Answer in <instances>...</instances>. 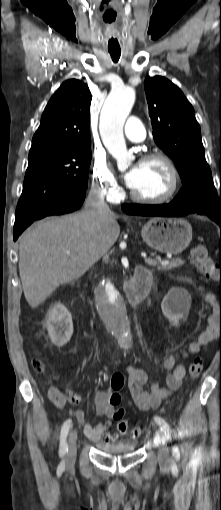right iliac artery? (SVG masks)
Masks as SVG:
<instances>
[{
  "mask_svg": "<svg viewBox=\"0 0 221 510\" xmlns=\"http://www.w3.org/2000/svg\"><path fill=\"white\" fill-rule=\"evenodd\" d=\"M72 426V420L68 419L64 422L61 433H60V448H59V455L63 456L68 452V446L66 443L67 435L69 432L70 427Z\"/></svg>",
  "mask_w": 221,
  "mask_h": 510,
  "instance_id": "obj_1",
  "label": "right iliac artery"
}]
</instances>
